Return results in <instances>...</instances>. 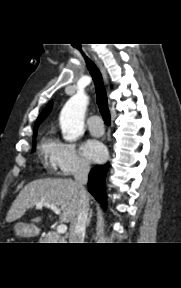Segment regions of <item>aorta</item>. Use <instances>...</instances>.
<instances>
[{
  "instance_id": "obj_1",
  "label": "aorta",
  "mask_w": 181,
  "mask_h": 288,
  "mask_svg": "<svg viewBox=\"0 0 181 288\" xmlns=\"http://www.w3.org/2000/svg\"><path fill=\"white\" fill-rule=\"evenodd\" d=\"M88 105V97L83 92L72 96L60 113V125L63 138L74 141L84 132V116Z\"/></svg>"
}]
</instances>
